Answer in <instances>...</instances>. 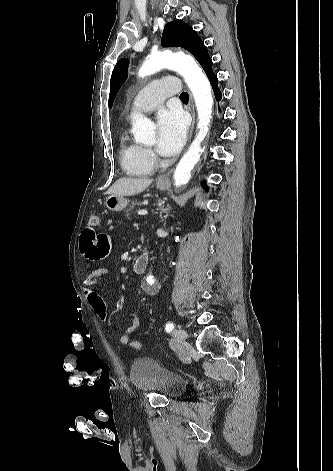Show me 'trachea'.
Masks as SVG:
<instances>
[{
	"label": "trachea",
	"instance_id": "3493384b",
	"mask_svg": "<svg viewBox=\"0 0 333 471\" xmlns=\"http://www.w3.org/2000/svg\"><path fill=\"white\" fill-rule=\"evenodd\" d=\"M180 99H181V100H187V101H188V93H186V92L181 93Z\"/></svg>",
	"mask_w": 333,
	"mask_h": 471
}]
</instances>
